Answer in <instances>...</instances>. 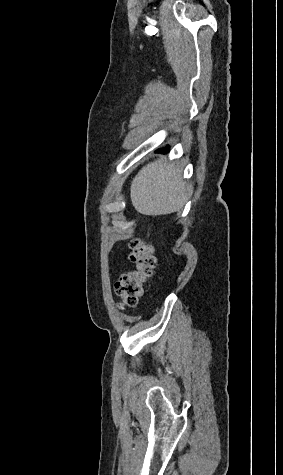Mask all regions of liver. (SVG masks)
Wrapping results in <instances>:
<instances>
[{"instance_id": "liver-1", "label": "liver", "mask_w": 283, "mask_h": 475, "mask_svg": "<svg viewBox=\"0 0 283 475\" xmlns=\"http://www.w3.org/2000/svg\"><path fill=\"white\" fill-rule=\"evenodd\" d=\"M184 188L180 168L165 158L155 160L146 164L132 180V204L144 216L173 214L185 204Z\"/></svg>"}]
</instances>
